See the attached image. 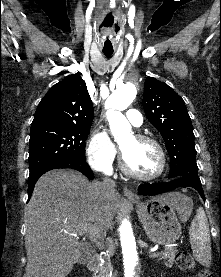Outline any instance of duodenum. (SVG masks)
Segmentation results:
<instances>
[{
    "label": "duodenum",
    "instance_id": "410a0bca",
    "mask_svg": "<svg viewBox=\"0 0 221 277\" xmlns=\"http://www.w3.org/2000/svg\"><path fill=\"white\" fill-rule=\"evenodd\" d=\"M100 265V256L98 254H95L89 264H88V268L90 271H96L99 268Z\"/></svg>",
    "mask_w": 221,
    "mask_h": 277
}]
</instances>
